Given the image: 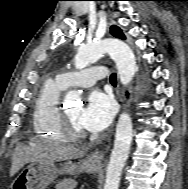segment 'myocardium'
<instances>
[{"label": "myocardium", "mask_w": 188, "mask_h": 189, "mask_svg": "<svg viewBox=\"0 0 188 189\" xmlns=\"http://www.w3.org/2000/svg\"><path fill=\"white\" fill-rule=\"evenodd\" d=\"M60 121L65 138L78 140L86 136V133L82 129H78L72 124L65 110H61Z\"/></svg>", "instance_id": "f54148a6"}]
</instances>
